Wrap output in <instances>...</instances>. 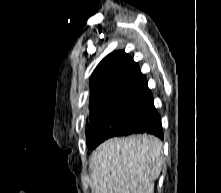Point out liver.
Wrapping results in <instances>:
<instances>
[{
  "instance_id": "6515ba94",
  "label": "liver",
  "mask_w": 221,
  "mask_h": 193,
  "mask_svg": "<svg viewBox=\"0 0 221 193\" xmlns=\"http://www.w3.org/2000/svg\"><path fill=\"white\" fill-rule=\"evenodd\" d=\"M162 147L147 134L103 142L90 157L94 193H153L163 164Z\"/></svg>"
}]
</instances>
